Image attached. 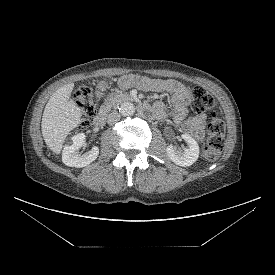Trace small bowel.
I'll list each match as a JSON object with an SVG mask.
<instances>
[{
    "label": "small bowel",
    "mask_w": 275,
    "mask_h": 275,
    "mask_svg": "<svg viewBox=\"0 0 275 275\" xmlns=\"http://www.w3.org/2000/svg\"><path fill=\"white\" fill-rule=\"evenodd\" d=\"M119 85L122 88L137 87L147 91L171 93L173 106L171 112L172 122L182 127L184 131L191 134L197 141L204 139L207 116L203 112H199L195 116H189L190 91L182 83L172 79H150L137 75H126L120 78ZM152 111L158 119H165L166 108L163 102H156Z\"/></svg>",
    "instance_id": "obj_1"
}]
</instances>
